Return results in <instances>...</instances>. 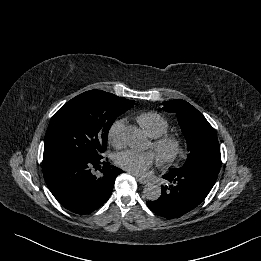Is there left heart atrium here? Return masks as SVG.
Returning a JSON list of instances; mask_svg holds the SVG:
<instances>
[{"mask_svg": "<svg viewBox=\"0 0 261 261\" xmlns=\"http://www.w3.org/2000/svg\"><path fill=\"white\" fill-rule=\"evenodd\" d=\"M155 161L156 156L151 151L124 150L115 157V162L119 167L136 175L145 174Z\"/></svg>", "mask_w": 261, "mask_h": 261, "instance_id": "obj_1", "label": "left heart atrium"}]
</instances>
